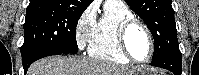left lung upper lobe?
<instances>
[{
	"mask_svg": "<svg viewBox=\"0 0 199 75\" xmlns=\"http://www.w3.org/2000/svg\"><path fill=\"white\" fill-rule=\"evenodd\" d=\"M143 19L154 38L153 60L179 49L171 0H125Z\"/></svg>",
	"mask_w": 199,
	"mask_h": 75,
	"instance_id": "1",
	"label": "left lung upper lobe"
}]
</instances>
